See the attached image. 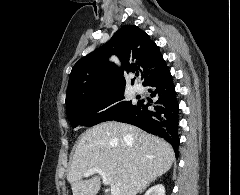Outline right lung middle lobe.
<instances>
[{
    "mask_svg": "<svg viewBox=\"0 0 240 195\" xmlns=\"http://www.w3.org/2000/svg\"><path fill=\"white\" fill-rule=\"evenodd\" d=\"M124 90L99 97H84L66 106L67 117L73 128L78 125L93 126L104 121L114 120L117 116L131 110L137 103L127 101Z\"/></svg>",
    "mask_w": 240,
    "mask_h": 195,
    "instance_id": "dd1d6c3e",
    "label": "right lung middle lobe"
}]
</instances>
